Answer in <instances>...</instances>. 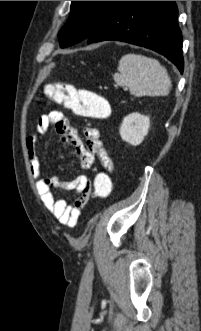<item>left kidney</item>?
I'll list each match as a JSON object with an SVG mask.
<instances>
[{
	"instance_id": "5707ae66",
	"label": "left kidney",
	"mask_w": 201,
	"mask_h": 331,
	"mask_svg": "<svg viewBox=\"0 0 201 331\" xmlns=\"http://www.w3.org/2000/svg\"><path fill=\"white\" fill-rule=\"evenodd\" d=\"M150 119L139 113H132L126 116L120 127V136L123 141L137 146L142 143L144 137L148 134Z\"/></svg>"
}]
</instances>
